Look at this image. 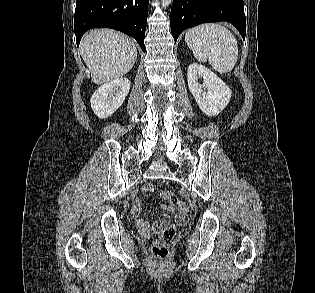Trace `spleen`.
<instances>
[{
    "mask_svg": "<svg viewBox=\"0 0 315 293\" xmlns=\"http://www.w3.org/2000/svg\"><path fill=\"white\" fill-rule=\"evenodd\" d=\"M185 42L198 61H208L219 73L230 72L238 60L237 40L220 24L205 23L187 30Z\"/></svg>",
    "mask_w": 315,
    "mask_h": 293,
    "instance_id": "1",
    "label": "spleen"
}]
</instances>
